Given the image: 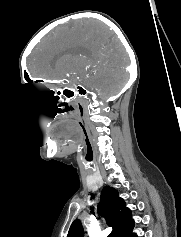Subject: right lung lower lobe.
<instances>
[{
    "label": "right lung lower lobe",
    "mask_w": 181,
    "mask_h": 237,
    "mask_svg": "<svg viewBox=\"0 0 181 237\" xmlns=\"http://www.w3.org/2000/svg\"><path fill=\"white\" fill-rule=\"evenodd\" d=\"M131 237H137V235L134 233V234L131 235Z\"/></svg>",
    "instance_id": "98d812e1"
}]
</instances>
